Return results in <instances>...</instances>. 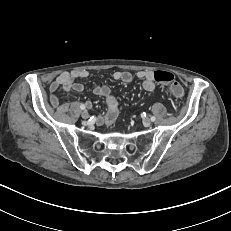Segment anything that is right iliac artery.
Segmentation results:
<instances>
[{
    "label": "right iliac artery",
    "mask_w": 231,
    "mask_h": 231,
    "mask_svg": "<svg viewBox=\"0 0 231 231\" xmlns=\"http://www.w3.org/2000/svg\"><path fill=\"white\" fill-rule=\"evenodd\" d=\"M80 108H81L82 110H84L86 107H85L84 104H81Z\"/></svg>",
    "instance_id": "82829eb1"
}]
</instances>
